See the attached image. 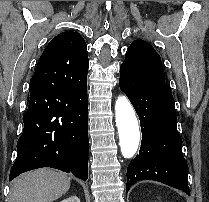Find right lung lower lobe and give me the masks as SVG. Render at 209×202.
I'll return each instance as SVG.
<instances>
[{
    "label": "right lung lower lobe",
    "instance_id": "right-lung-lower-lobe-1",
    "mask_svg": "<svg viewBox=\"0 0 209 202\" xmlns=\"http://www.w3.org/2000/svg\"><path fill=\"white\" fill-rule=\"evenodd\" d=\"M52 67V59H39L30 80L29 106L9 180L41 167L88 178L87 79L74 82Z\"/></svg>",
    "mask_w": 209,
    "mask_h": 202
}]
</instances>
